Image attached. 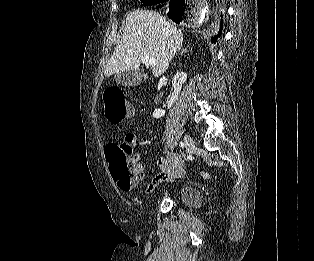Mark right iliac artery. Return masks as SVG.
<instances>
[{
	"label": "right iliac artery",
	"mask_w": 314,
	"mask_h": 261,
	"mask_svg": "<svg viewBox=\"0 0 314 261\" xmlns=\"http://www.w3.org/2000/svg\"><path fill=\"white\" fill-rule=\"evenodd\" d=\"M180 147H184V143L183 142H180Z\"/></svg>",
	"instance_id": "82829eb1"
}]
</instances>
